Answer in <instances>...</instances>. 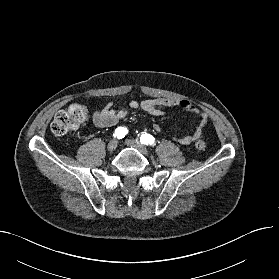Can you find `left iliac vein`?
<instances>
[{
	"label": "left iliac vein",
	"instance_id": "obj_1",
	"mask_svg": "<svg viewBox=\"0 0 279 279\" xmlns=\"http://www.w3.org/2000/svg\"><path fill=\"white\" fill-rule=\"evenodd\" d=\"M126 144L130 147L137 149L141 154L148 156L149 150L145 145L134 139H127Z\"/></svg>",
	"mask_w": 279,
	"mask_h": 279
}]
</instances>
